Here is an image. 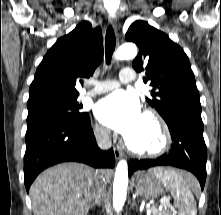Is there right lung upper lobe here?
I'll return each instance as SVG.
<instances>
[{"label": "right lung upper lobe", "instance_id": "1", "mask_svg": "<svg viewBox=\"0 0 221 215\" xmlns=\"http://www.w3.org/2000/svg\"><path fill=\"white\" fill-rule=\"evenodd\" d=\"M103 58L100 27L83 21L59 38L39 64L30 85L28 107L77 99L76 86L89 77Z\"/></svg>", "mask_w": 221, "mask_h": 215}]
</instances>
